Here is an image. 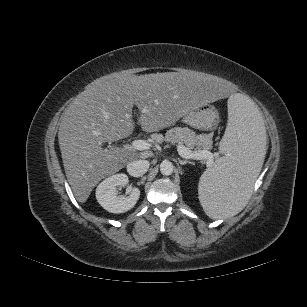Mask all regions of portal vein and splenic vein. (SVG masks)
Here are the masks:
<instances>
[{"label":"portal vein and splenic vein","mask_w":307,"mask_h":307,"mask_svg":"<svg viewBox=\"0 0 307 307\" xmlns=\"http://www.w3.org/2000/svg\"><path fill=\"white\" fill-rule=\"evenodd\" d=\"M152 147V144L146 140H134L132 141L130 148L136 150H147ZM177 151L179 155L183 158L193 159V160H203L207 159V166H211L214 162V154L207 150L192 151L191 149L185 147L184 145H178Z\"/></svg>","instance_id":"1"}]
</instances>
